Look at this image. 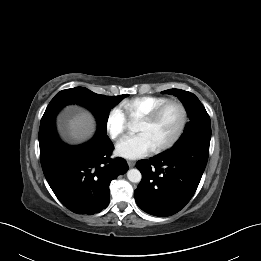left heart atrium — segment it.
Masks as SVG:
<instances>
[{
  "label": "left heart atrium",
  "mask_w": 261,
  "mask_h": 261,
  "mask_svg": "<svg viewBox=\"0 0 261 261\" xmlns=\"http://www.w3.org/2000/svg\"><path fill=\"white\" fill-rule=\"evenodd\" d=\"M152 146L142 133L122 137L116 144V153L127 159H137L152 151Z\"/></svg>",
  "instance_id": "39dd6f15"
}]
</instances>
